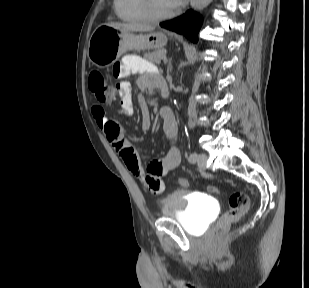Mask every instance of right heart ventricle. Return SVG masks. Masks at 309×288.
I'll return each instance as SVG.
<instances>
[{
	"label": "right heart ventricle",
	"instance_id": "e07e8e85",
	"mask_svg": "<svg viewBox=\"0 0 309 288\" xmlns=\"http://www.w3.org/2000/svg\"><path fill=\"white\" fill-rule=\"evenodd\" d=\"M117 16L125 22L144 24L151 20L145 15L140 0H114Z\"/></svg>",
	"mask_w": 309,
	"mask_h": 288
}]
</instances>
